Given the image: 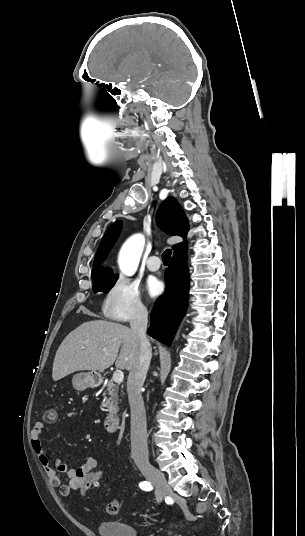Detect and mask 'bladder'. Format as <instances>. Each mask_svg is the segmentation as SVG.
Here are the masks:
<instances>
[{"label": "bladder", "instance_id": "1", "mask_svg": "<svg viewBox=\"0 0 305 536\" xmlns=\"http://www.w3.org/2000/svg\"><path fill=\"white\" fill-rule=\"evenodd\" d=\"M99 536H148L138 532V527L128 522L102 519L97 524Z\"/></svg>", "mask_w": 305, "mask_h": 536}]
</instances>
